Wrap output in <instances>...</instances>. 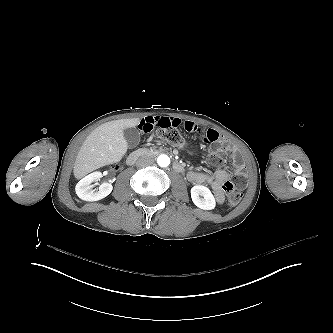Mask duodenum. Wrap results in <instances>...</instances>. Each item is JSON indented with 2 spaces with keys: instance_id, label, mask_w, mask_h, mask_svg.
Segmentation results:
<instances>
[{
  "instance_id": "duodenum-1",
  "label": "duodenum",
  "mask_w": 333,
  "mask_h": 333,
  "mask_svg": "<svg viewBox=\"0 0 333 333\" xmlns=\"http://www.w3.org/2000/svg\"><path fill=\"white\" fill-rule=\"evenodd\" d=\"M147 153H148V150H146V149H138V150L131 152L127 157V160H126L127 164L134 165L140 157L144 156ZM173 166H174V169L178 172H181L183 170V165L179 161H175Z\"/></svg>"
}]
</instances>
